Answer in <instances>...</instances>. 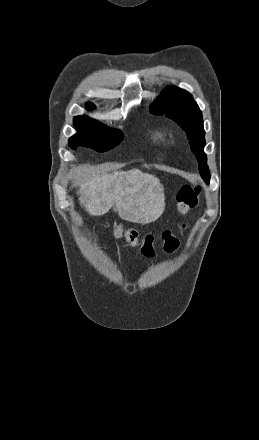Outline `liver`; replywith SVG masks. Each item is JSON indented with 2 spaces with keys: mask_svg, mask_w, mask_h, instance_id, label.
<instances>
[{
  "mask_svg": "<svg viewBox=\"0 0 259 440\" xmlns=\"http://www.w3.org/2000/svg\"><path fill=\"white\" fill-rule=\"evenodd\" d=\"M91 167L75 168L83 176ZM80 204L93 216L106 214L114 205L119 216L133 223L156 221L165 209L164 187L153 175L138 169L87 177L77 191Z\"/></svg>",
  "mask_w": 259,
  "mask_h": 440,
  "instance_id": "obj_1",
  "label": "liver"
}]
</instances>
